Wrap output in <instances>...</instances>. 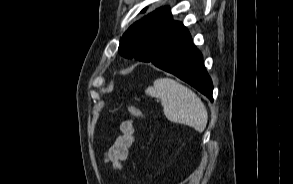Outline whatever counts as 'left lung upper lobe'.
Wrapping results in <instances>:
<instances>
[{"label": "left lung upper lobe", "instance_id": "left-lung-upper-lobe-1", "mask_svg": "<svg viewBox=\"0 0 293 184\" xmlns=\"http://www.w3.org/2000/svg\"><path fill=\"white\" fill-rule=\"evenodd\" d=\"M144 8L141 13L145 12ZM172 19L169 7L156 9L148 16L132 24L120 39L119 53L126 58L146 61L151 58L147 50L151 39L163 32L164 26Z\"/></svg>", "mask_w": 293, "mask_h": 184}]
</instances>
